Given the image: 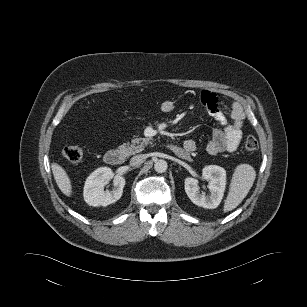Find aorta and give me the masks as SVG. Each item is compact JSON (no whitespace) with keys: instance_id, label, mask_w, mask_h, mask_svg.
Masks as SVG:
<instances>
[{"instance_id":"obj_1","label":"aorta","mask_w":307,"mask_h":307,"mask_svg":"<svg viewBox=\"0 0 307 307\" xmlns=\"http://www.w3.org/2000/svg\"><path fill=\"white\" fill-rule=\"evenodd\" d=\"M168 168V164L165 160L159 159L155 161L154 169L157 173H164Z\"/></svg>"}]
</instances>
